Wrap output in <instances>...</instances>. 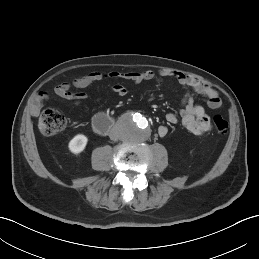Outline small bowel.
Masks as SVG:
<instances>
[{
	"instance_id": "c3829d8e",
	"label": "small bowel",
	"mask_w": 259,
	"mask_h": 259,
	"mask_svg": "<svg viewBox=\"0 0 259 259\" xmlns=\"http://www.w3.org/2000/svg\"><path fill=\"white\" fill-rule=\"evenodd\" d=\"M161 77H175L179 84L186 88V92L181 100L180 117L182 125L194 135H202L212 129V124L209 116L205 109L201 105L194 103L191 90L201 94L207 100V104L210 108H218L221 105V98L218 91L206 80L192 75L178 73L170 69H161L158 72ZM155 77V73L151 70H145L141 72H101L94 71L83 77H81L76 85L78 87H87L92 83L103 81V80H118L127 79L134 83H141L144 81L152 80ZM112 90L120 95L124 96L127 94V89L121 83H114ZM53 94L64 100H73L76 103L81 102L87 98L84 93L73 95L70 92V85L68 83H62L55 86L52 90ZM50 98V92L43 90L38 92L32 99L31 111L34 115H38L44 103ZM165 119L168 123L174 124L178 121L177 114L169 112L166 114ZM168 133L166 126H160L158 128V134L160 137H165Z\"/></svg>"
}]
</instances>
